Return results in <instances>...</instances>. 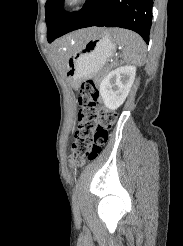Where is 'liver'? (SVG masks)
<instances>
[{"instance_id":"1","label":"liver","mask_w":183,"mask_h":246,"mask_svg":"<svg viewBox=\"0 0 183 246\" xmlns=\"http://www.w3.org/2000/svg\"><path fill=\"white\" fill-rule=\"evenodd\" d=\"M100 31L99 28H89V29H84L77 31L55 43V50L57 53V56L64 62L67 57L64 53V47L67 43L71 41H76L79 44H83L86 41L92 39L98 32Z\"/></svg>"}]
</instances>
